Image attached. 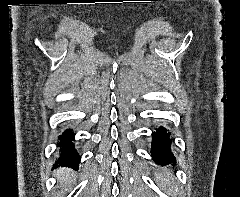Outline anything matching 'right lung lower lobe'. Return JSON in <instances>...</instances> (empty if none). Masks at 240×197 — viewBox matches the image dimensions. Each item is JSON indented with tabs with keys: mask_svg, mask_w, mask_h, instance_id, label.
<instances>
[{
	"mask_svg": "<svg viewBox=\"0 0 240 197\" xmlns=\"http://www.w3.org/2000/svg\"><path fill=\"white\" fill-rule=\"evenodd\" d=\"M74 133L67 129L65 130L62 135L58 138V146H59V152L60 157L58 159L59 166H68L77 168L78 164L80 162V156L78 152L75 150V146L73 141L74 139Z\"/></svg>",
	"mask_w": 240,
	"mask_h": 197,
	"instance_id": "right-lung-lower-lobe-1",
	"label": "right lung lower lobe"
}]
</instances>
